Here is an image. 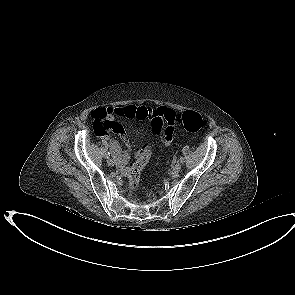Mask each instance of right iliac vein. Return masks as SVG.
<instances>
[{
  "label": "right iliac vein",
  "mask_w": 295,
  "mask_h": 295,
  "mask_svg": "<svg viewBox=\"0 0 295 295\" xmlns=\"http://www.w3.org/2000/svg\"><path fill=\"white\" fill-rule=\"evenodd\" d=\"M107 163H108V165H110V166H114V164H115V162H114L113 159H108V160H107Z\"/></svg>",
  "instance_id": "1"
}]
</instances>
